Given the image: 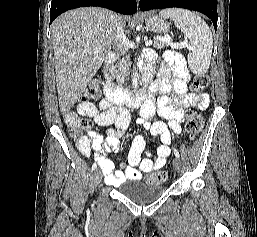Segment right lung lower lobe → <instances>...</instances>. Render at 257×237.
Returning <instances> with one entry per match:
<instances>
[{"instance_id": "obj_1", "label": "right lung lower lobe", "mask_w": 257, "mask_h": 237, "mask_svg": "<svg viewBox=\"0 0 257 237\" xmlns=\"http://www.w3.org/2000/svg\"><path fill=\"white\" fill-rule=\"evenodd\" d=\"M86 6H100L119 12L132 15L137 11L136 0H52L50 9V23L61 13Z\"/></svg>"}]
</instances>
